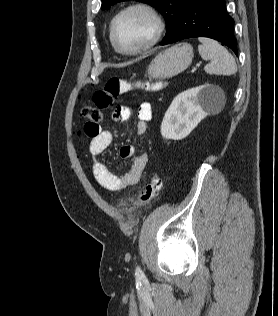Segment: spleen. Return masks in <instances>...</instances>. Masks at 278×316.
I'll return each mask as SVG.
<instances>
[{
    "mask_svg": "<svg viewBox=\"0 0 278 316\" xmlns=\"http://www.w3.org/2000/svg\"><path fill=\"white\" fill-rule=\"evenodd\" d=\"M201 45L198 51L204 60H210L205 66V71L209 74L232 75L237 71L234 57L228 50L217 41L205 37H200Z\"/></svg>",
    "mask_w": 278,
    "mask_h": 316,
    "instance_id": "3e777b00",
    "label": "spleen"
}]
</instances>
